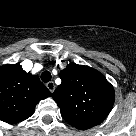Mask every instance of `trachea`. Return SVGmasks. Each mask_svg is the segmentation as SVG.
I'll return each mask as SVG.
<instances>
[{"label": "trachea", "instance_id": "3493384b", "mask_svg": "<svg viewBox=\"0 0 136 136\" xmlns=\"http://www.w3.org/2000/svg\"><path fill=\"white\" fill-rule=\"evenodd\" d=\"M41 80L45 83L49 82L51 80V73L49 71H44L41 74Z\"/></svg>", "mask_w": 136, "mask_h": 136}]
</instances>
